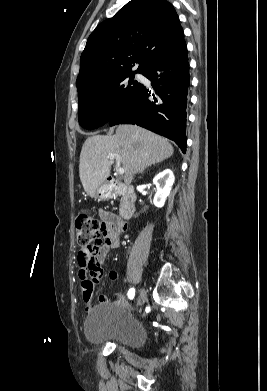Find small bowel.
<instances>
[{
	"mask_svg": "<svg viewBox=\"0 0 267 391\" xmlns=\"http://www.w3.org/2000/svg\"><path fill=\"white\" fill-rule=\"evenodd\" d=\"M99 216L103 221L104 244L100 251L95 255L82 254L78 256L79 262V279L81 281L82 294L85 306L91 309L93 306L94 284L98 283L103 275V262L111 249H116L119 246V236L127 229V224L119 220L114 214L99 210ZM118 274L115 271L108 273V277L112 280L117 278ZM99 301L107 303L105 296L100 295ZM117 303L121 302L118 297Z\"/></svg>",
	"mask_w": 267,
	"mask_h": 391,
	"instance_id": "c3829d8e",
	"label": "small bowel"
}]
</instances>
